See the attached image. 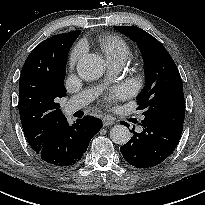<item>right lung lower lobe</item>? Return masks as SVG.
Returning a JSON list of instances; mask_svg holds the SVG:
<instances>
[{"instance_id": "obj_1", "label": "right lung lower lobe", "mask_w": 205, "mask_h": 205, "mask_svg": "<svg viewBox=\"0 0 205 205\" xmlns=\"http://www.w3.org/2000/svg\"><path fill=\"white\" fill-rule=\"evenodd\" d=\"M101 125L99 119L90 116L78 119L73 125L64 120L36 153L51 166H72L81 160Z\"/></svg>"}]
</instances>
